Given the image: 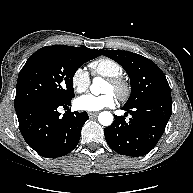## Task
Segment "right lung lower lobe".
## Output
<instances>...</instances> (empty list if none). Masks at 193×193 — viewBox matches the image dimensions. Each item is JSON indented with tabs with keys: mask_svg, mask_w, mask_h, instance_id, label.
Instances as JSON below:
<instances>
[{
	"mask_svg": "<svg viewBox=\"0 0 193 193\" xmlns=\"http://www.w3.org/2000/svg\"><path fill=\"white\" fill-rule=\"evenodd\" d=\"M71 105L55 99H41L16 114L20 132L27 144L46 158L61 157L71 152L80 140L81 129L89 119L86 112H67L63 116L59 106Z\"/></svg>",
	"mask_w": 193,
	"mask_h": 193,
	"instance_id": "98d812e1",
	"label": "right lung lower lobe"
}]
</instances>
